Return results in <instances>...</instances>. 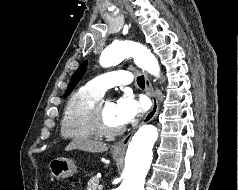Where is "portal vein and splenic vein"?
Returning a JSON list of instances; mask_svg holds the SVG:
<instances>
[{
	"label": "portal vein and splenic vein",
	"mask_w": 238,
	"mask_h": 190,
	"mask_svg": "<svg viewBox=\"0 0 238 190\" xmlns=\"http://www.w3.org/2000/svg\"><path fill=\"white\" fill-rule=\"evenodd\" d=\"M103 189V186L102 185H99V190H102Z\"/></svg>",
	"instance_id": "18ae733b"
}]
</instances>
